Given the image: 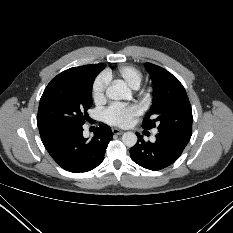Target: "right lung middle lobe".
Listing matches in <instances>:
<instances>
[{
  "instance_id": "1",
  "label": "right lung middle lobe",
  "mask_w": 233,
  "mask_h": 233,
  "mask_svg": "<svg viewBox=\"0 0 233 233\" xmlns=\"http://www.w3.org/2000/svg\"><path fill=\"white\" fill-rule=\"evenodd\" d=\"M105 64L86 65L78 73L55 77L40 99L37 124L40 135L82 126L92 105V85Z\"/></svg>"
}]
</instances>
